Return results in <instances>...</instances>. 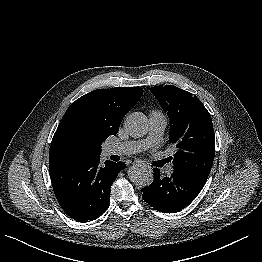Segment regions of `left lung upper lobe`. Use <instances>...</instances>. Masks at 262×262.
<instances>
[{
  "label": "left lung upper lobe",
  "instance_id": "1",
  "mask_svg": "<svg viewBox=\"0 0 262 262\" xmlns=\"http://www.w3.org/2000/svg\"><path fill=\"white\" fill-rule=\"evenodd\" d=\"M150 91L170 120L169 141L177 147L170 157L174 170L207 180L215 155L211 115L195 95L176 86H155Z\"/></svg>",
  "mask_w": 262,
  "mask_h": 262
}]
</instances>
